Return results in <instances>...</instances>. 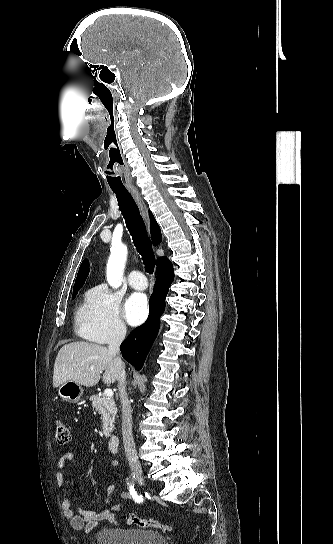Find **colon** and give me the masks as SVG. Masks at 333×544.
I'll list each match as a JSON object with an SVG mask.
<instances>
[{
  "label": "colon",
  "instance_id": "obj_1",
  "mask_svg": "<svg viewBox=\"0 0 333 544\" xmlns=\"http://www.w3.org/2000/svg\"><path fill=\"white\" fill-rule=\"evenodd\" d=\"M55 440L60 445H65L71 440V432L66 424L61 420L55 421ZM126 520L130 523L137 524L144 528L161 529L164 532L171 533L174 531V526L171 524H164L158 520L152 518H142L134 514H128Z\"/></svg>",
  "mask_w": 333,
  "mask_h": 544
}]
</instances>
